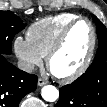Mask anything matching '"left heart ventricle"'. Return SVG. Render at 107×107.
Returning <instances> with one entry per match:
<instances>
[{
    "instance_id": "left-heart-ventricle-1",
    "label": "left heart ventricle",
    "mask_w": 107,
    "mask_h": 107,
    "mask_svg": "<svg viewBox=\"0 0 107 107\" xmlns=\"http://www.w3.org/2000/svg\"><path fill=\"white\" fill-rule=\"evenodd\" d=\"M91 43V31L87 23L80 22L70 31L64 46L54 56L51 69L57 75H68L83 63Z\"/></svg>"
}]
</instances>
